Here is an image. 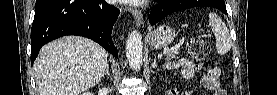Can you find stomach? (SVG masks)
<instances>
[{
    "mask_svg": "<svg viewBox=\"0 0 277 95\" xmlns=\"http://www.w3.org/2000/svg\"><path fill=\"white\" fill-rule=\"evenodd\" d=\"M175 31L167 25H161L148 34V42L151 48L161 49L171 44L175 38Z\"/></svg>",
    "mask_w": 277,
    "mask_h": 95,
    "instance_id": "1",
    "label": "stomach"
}]
</instances>
